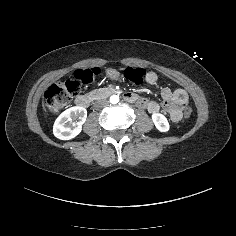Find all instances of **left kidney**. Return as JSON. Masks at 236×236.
<instances>
[{
    "label": "left kidney",
    "instance_id": "5707ae66",
    "mask_svg": "<svg viewBox=\"0 0 236 236\" xmlns=\"http://www.w3.org/2000/svg\"><path fill=\"white\" fill-rule=\"evenodd\" d=\"M152 120L159 131L167 132L169 130V123L164 115L155 113L152 115Z\"/></svg>",
    "mask_w": 236,
    "mask_h": 236
}]
</instances>
